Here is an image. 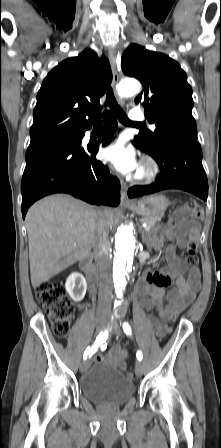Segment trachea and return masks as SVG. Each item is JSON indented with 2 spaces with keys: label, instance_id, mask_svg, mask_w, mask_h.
Returning <instances> with one entry per match:
<instances>
[{
  "label": "trachea",
  "instance_id": "obj_1",
  "mask_svg": "<svg viewBox=\"0 0 221 448\" xmlns=\"http://www.w3.org/2000/svg\"><path fill=\"white\" fill-rule=\"evenodd\" d=\"M105 105L106 106L109 105L110 109L113 111L115 116L118 118V120L122 124L128 125V126L141 127V125L139 123H134V122L129 120V118L127 117L126 113L123 111V109L117 103V101H116V99L114 97L113 90H112L111 87L107 91ZM102 124H103L102 121H98L96 125L97 126H102Z\"/></svg>",
  "mask_w": 221,
  "mask_h": 448
}]
</instances>
